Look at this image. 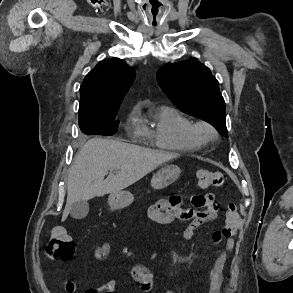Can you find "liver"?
Here are the masks:
<instances>
[{"label": "liver", "mask_w": 293, "mask_h": 293, "mask_svg": "<svg viewBox=\"0 0 293 293\" xmlns=\"http://www.w3.org/2000/svg\"><path fill=\"white\" fill-rule=\"evenodd\" d=\"M177 156L117 140H88L69 169L62 221L68 217L73 203L120 192Z\"/></svg>", "instance_id": "6515ba94"}]
</instances>
